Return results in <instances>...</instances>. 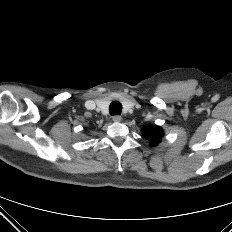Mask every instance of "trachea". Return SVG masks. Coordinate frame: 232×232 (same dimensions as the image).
I'll use <instances>...</instances> for the list:
<instances>
[{"label": "trachea", "instance_id": "trachea-1", "mask_svg": "<svg viewBox=\"0 0 232 232\" xmlns=\"http://www.w3.org/2000/svg\"><path fill=\"white\" fill-rule=\"evenodd\" d=\"M109 112L111 115H120L122 112V105L118 101H113L109 106Z\"/></svg>", "mask_w": 232, "mask_h": 232}]
</instances>
